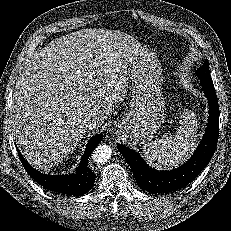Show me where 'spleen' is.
Instances as JSON below:
<instances>
[{
  "mask_svg": "<svg viewBox=\"0 0 231 231\" xmlns=\"http://www.w3.org/2000/svg\"><path fill=\"white\" fill-rule=\"evenodd\" d=\"M179 123V130L174 135L164 134L159 140L143 146L142 152L151 166L160 170L177 166L194 150L198 125L196 114L184 110Z\"/></svg>",
  "mask_w": 231,
  "mask_h": 231,
  "instance_id": "3e777b00",
  "label": "spleen"
}]
</instances>
